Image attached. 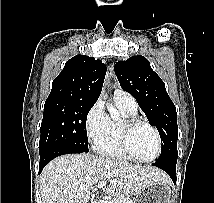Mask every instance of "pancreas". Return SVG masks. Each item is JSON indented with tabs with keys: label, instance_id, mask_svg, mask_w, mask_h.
Masks as SVG:
<instances>
[{
	"label": "pancreas",
	"instance_id": "cf45deb5",
	"mask_svg": "<svg viewBox=\"0 0 214 203\" xmlns=\"http://www.w3.org/2000/svg\"><path fill=\"white\" fill-rule=\"evenodd\" d=\"M113 203H133L128 198L117 197L113 200Z\"/></svg>",
	"mask_w": 214,
	"mask_h": 203
}]
</instances>
